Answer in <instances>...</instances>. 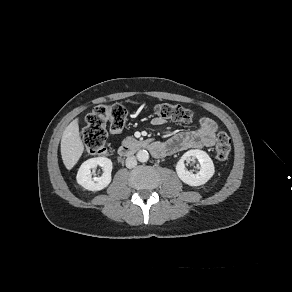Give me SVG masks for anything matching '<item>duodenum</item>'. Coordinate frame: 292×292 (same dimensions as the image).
<instances>
[{
    "instance_id": "1",
    "label": "duodenum",
    "mask_w": 292,
    "mask_h": 292,
    "mask_svg": "<svg viewBox=\"0 0 292 292\" xmlns=\"http://www.w3.org/2000/svg\"><path fill=\"white\" fill-rule=\"evenodd\" d=\"M141 149H149L154 151V144L147 140L126 139L119 148V154L123 157L129 156Z\"/></svg>"
}]
</instances>
